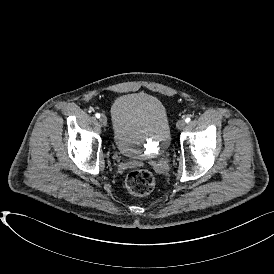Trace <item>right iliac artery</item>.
I'll list each match as a JSON object with an SVG mask.
<instances>
[{
	"label": "right iliac artery",
	"instance_id": "82829eb1",
	"mask_svg": "<svg viewBox=\"0 0 274 274\" xmlns=\"http://www.w3.org/2000/svg\"><path fill=\"white\" fill-rule=\"evenodd\" d=\"M95 116H96V118H100V114L99 113H96Z\"/></svg>",
	"mask_w": 274,
	"mask_h": 274
}]
</instances>
